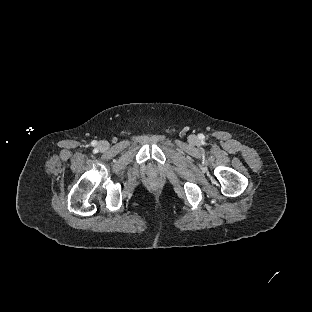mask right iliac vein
<instances>
[{
    "instance_id": "63e3f726",
    "label": "right iliac vein",
    "mask_w": 312,
    "mask_h": 312,
    "mask_svg": "<svg viewBox=\"0 0 312 312\" xmlns=\"http://www.w3.org/2000/svg\"><path fill=\"white\" fill-rule=\"evenodd\" d=\"M107 146H108V142H106V141H101V142H99V144H98V147H99L100 149H105V148H107Z\"/></svg>"
}]
</instances>
